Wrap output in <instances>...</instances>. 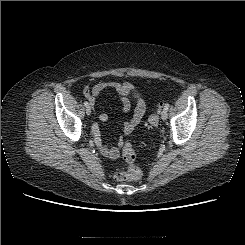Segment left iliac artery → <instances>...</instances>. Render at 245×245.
<instances>
[{
    "mask_svg": "<svg viewBox=\"0 0 245 245\" xmlns=\"http://www.w3.org/2000/svg\"><path fill=\"white\" fill-rule=\"evenodd\" d=\"M169 107H170V104H169V103H166L165 106H164V109H165V110H168Z\"/></svg>",
    "mask_w": 245,
    "mask_h": 245,
    "instance_id": "obj_1",
    "label": "left iliac artery"
}]
</instances>
